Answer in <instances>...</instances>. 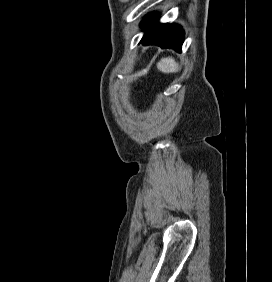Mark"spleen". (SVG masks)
I'll list each match as a JSON object with an SVG mask.
<instances>
[{
	"label": "spleen",
	"mask_w": 272,
	"mask_h": 282,
	"mask_svg": "<svg viewBox=\"0 0 272 282\" xmlns=\"http://www.w3.org/2000/svg\"><path fill=\"white\" fill-rule=\"evenodd\" d=\"M157 68L163 73H176L180 69L179 64L172 57L162 58L157 63Z\"/></svg>",
	"instance_id": "1"
}]
</instances>
